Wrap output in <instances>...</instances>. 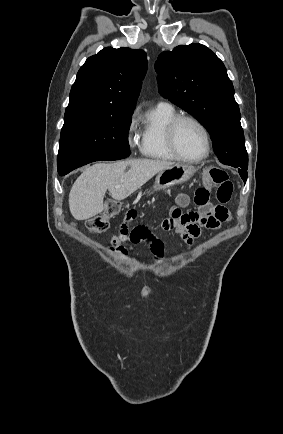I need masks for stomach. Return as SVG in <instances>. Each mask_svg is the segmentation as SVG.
Instances as JSON below:
<instances>
[{
	"label": "stomach",
	"instance_id": "1",
	"mask_svg": "<svg viewBox=\"0 0 283 434\" xmlns=\"http://www.w3.org/2000/svg\"><path fill=\"white\" fill-rule=\"evenodd\" d=\"M196 169L188 164L176 163L157 174L154 191H160L188 181Z\"/></svg>",
	"mask_w": 283,
	"mask_h": 434
}]
</instances>
